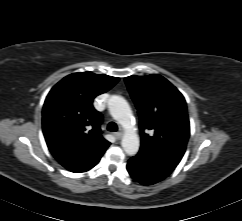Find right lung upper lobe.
Here are the masks:
<instances>
[{"instance_id":"right-lung-upper-lobe-1","label":"right lung upper lobe","mask_w":242,"mask_h":221,"mask_svg":"<svg viewBox=\"0 0 242 221\" xmlns=\"http://www.w3.org/2000/svg\"><path fill=\"white\" fill-rule=\"evenodd\" d=\"M118 80L91 72L73 73L49 92L42 112L43 133L53 156L69 171L91 169L109 147L100 130L102 115L92 103Z\"/></svg>"}]
</instances>
